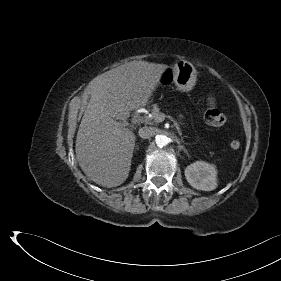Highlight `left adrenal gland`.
<instances>
[{"mask_svg": "<svg viewBox=\"0 0 281 281\" xmlns=\"http://www.w3.org/2000/svg\"><path fill=\"white\" fill-rule=\"evenodd\" d=\"M178 149H179V150H183L184 152L187 153V150H186L183 146H178Z\"/></svg>", "mask_w": 281, "mask_h": 281, "instance_id": "1", "label": "left adrenal gland"}]
</instances>
